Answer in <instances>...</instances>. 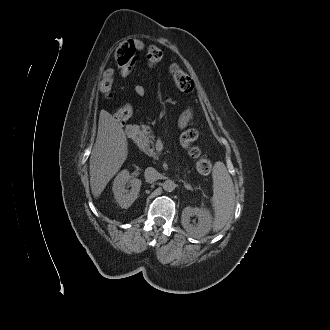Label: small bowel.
<instances>
[{"label":"small bowel","instance_id":"small-bowel-1","mask_svg":"<svg viewBox=\"0 0 330 330\" xmlns=\"http://www.w3.org/2000/svg\"><path fill=\"white\" fill-rule=\"evenodd\" d=\"M131 42L134 45V48L137 50H141L144 48V44L141 40L135 39ZM134 68H135V60L131 61L130 63L124 66L119 65V75L121 77H127L132 73ZM134 91L136 95H138L139 97H143L146 94V89L142 85H136ZM131 114H132V108L130 105H124L118 110V115L122 121L128 120Z\"/></svg>","mask_w":330,"mask_h":330}]
</instances>
